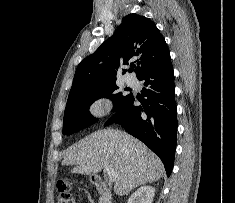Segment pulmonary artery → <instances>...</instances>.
Returning <instances> with one entry per match:
<instances>
[{
    "label": "pulmonary artery",
    "mask_w": 235,
    "mask_h": 203,
    "mask_svg": "<svg viewBox=\"0 0 235 203\" xmlns=\"http://www.w3.org/2000/svg\"><path fill=\"white\" fill-rule=\"evenodd\" d=\"M125 81L128 86H135L137 84V79L132 75H127Z\"/></svg>",
    "instance_id": "1"
}]
</instances>
